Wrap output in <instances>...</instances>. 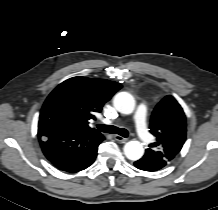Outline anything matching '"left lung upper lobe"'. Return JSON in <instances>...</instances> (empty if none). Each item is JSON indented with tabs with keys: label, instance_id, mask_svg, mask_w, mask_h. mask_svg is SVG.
Returning a JSON list of instances; mask_svg holds the SVG:
<instances>
[{
	"label": "left lung upper lobe",
	"instance_id": "left-lung-upper-lobe-1",
	"mask_svg": "<svg viewBox=\"0 0 218 210\" xmlns=\"http://www.w3.org/2000/svg\"><path fill=\"white\" fill-rule=\"evenodd\" d=\"M155 142L146 150L154 161L166 166L180 152L186 140V117L176 99L168 95L155 107L150 123Z\"/></svg>",
	"mask_w": 218,
	"mask_h": 210
}]
</instances>
